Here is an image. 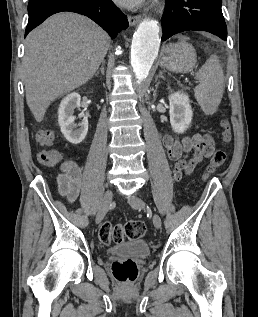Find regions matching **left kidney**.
I'll return each instance as SVG.
<instances>
[{"label":"left kidney","instance_id":"obj_1","mask_svg":"<svg viewBox=\"0 0 258 317\" xmlns=\"http://www.w3.org/2000/svg\"><path fill=\"white\" fill-rule=\"evenodd\" d=\"M168 100L172 130L174 132H185L189 128L193 116L188 94L183 90H178V92L169 94Z\"/></svg>","mask_w":258,"mask_h":317}]
</instances>
